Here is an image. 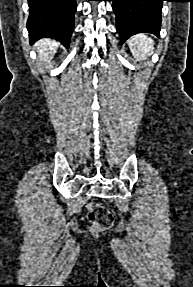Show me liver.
Returning a JSON list of instances; mask_svg holds the SVG:
<instances>
[{"instance_id": "6515ba94", "label": "liver", "mask_w": 193, "mask_h": 287, "mask_svg": "<svg viewBox=\"0 0 193 287\" xmlns=\"http://www.w3.org/2000/svg\"><path fill=\"white\" fill-rule=\"evenodd\" d=\"M58 43L52 39H41L36 44L38 57L41 62L48 63L55 55Z\"/></svg>"}]
</instances>
